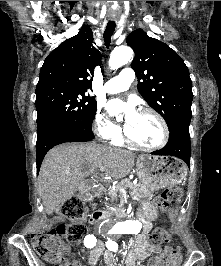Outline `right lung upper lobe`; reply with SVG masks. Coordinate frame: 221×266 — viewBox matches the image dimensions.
Listing matches in <instances>:
<instances>
[{
  "label": "right lung upper lobe",
  "mask_w": 221,
  "mask_h": 266,
  "mask_svg": "<svg viewBox=\"0 0 221 266\" xmlns=\"http://www.w3.org/2000/svg\"><path fill=\"white\" fill-rule=\"evenodd\" d=\"M88 25L61 43L44 60L36 89L67 88L87 92L91 88L94 68L101 63V54L93 45Z\"/></svg>",
  "instance_id": "1"
}]
</instances>
